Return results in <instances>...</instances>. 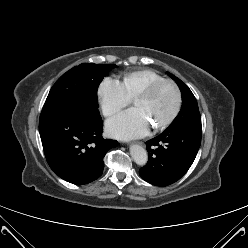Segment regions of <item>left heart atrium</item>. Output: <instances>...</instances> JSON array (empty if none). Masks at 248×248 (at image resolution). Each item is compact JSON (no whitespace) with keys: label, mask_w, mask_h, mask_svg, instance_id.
I'll list each match as a JSON object with an SVG mask.
<instances>
[{"label":"left heart atrium","mask_w":248,"mask_h":248,"mask_svg":"<svg viewBox=\"0 0 248 248\" xmlns=\"http://www.w3.org/2000/svg\"><path fill=\"white\" fill-rule=\"evenodd\" d=\"M149 127V118L140 107L136 106L108 121L106 130L110 136L128 140L144 136Z\"/></svg>","instance_id":"obj_1"}]
</instances>
